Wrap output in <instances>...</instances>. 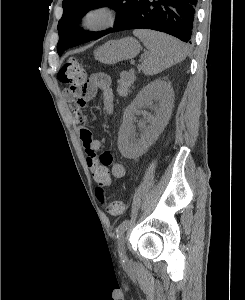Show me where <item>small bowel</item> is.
Returning a JSON list of instances; mask_svg holds the SVG:
<instances>
[{"label": "small bowel", "instance_id": "1", "mask_svg": "<svg viewBox=\"0 0 245 300\" xmlns=\"http://www.w3.org/2000/svg\"><path fill=\"white\" fill-rule=\"evenodd\" d=\"M98 94L103 110L111 113L114 94L111 88V78L104 73L94 74L89 79L79 96L71 103V113L97 188H110L111 176L117 179L123 178L126 175V168L123 164L115 162L109 152L99 153L102 149V141L95 136L88 125L86 115L82 112V108Z\"/></svg>", "mask_w": 245, "mask_h": 300}]
</instances>
